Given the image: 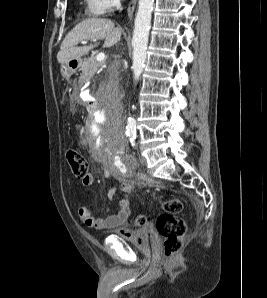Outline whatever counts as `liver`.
<instances>
[{
	"instance_id": "6515ba94",
	"label": "liver",
	"mask_w": 267,
	"mask_h": 298,
	"mask_svg": "<svg viewBox=\"0 0 267 298\" xmlns=\"http://www.w3.org/2000/svg\"><path fill=\"white\" fill-rule=\"evenodd\" d=\"M122 31L115 27L114 22L103 18H88L77 24L64 38L57 54V60L62 65L73 59H80L89 53L99 43L89 46H78L81 41L105 39L103 47L108 48L119 42Z\"/></svg>"
}]
</instances>
